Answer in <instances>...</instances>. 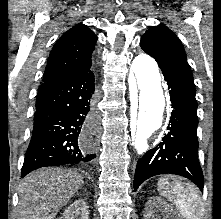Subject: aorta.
Returning a JSON list of instances; mask_svg holds the SVG:
<instances>
[{"mask_svg": "<svg viewBox=\"0 0 221 219\" xmlns=\"http://www.w3.org/2000/svg\"><path fill=\"white\" fill-rule=\"evenodd\" d=\"M135 75L134 88L137 96V106L133 118L132 130L135 149L138 154L146 150V139L163 124L166 96L161 84V76L156 61L140 54L132 62Z\"/></svg>", "mask_w": 221, "mask_h": 219, "instance_id": "obj_1", "label": "aorta"}]
</instances>
